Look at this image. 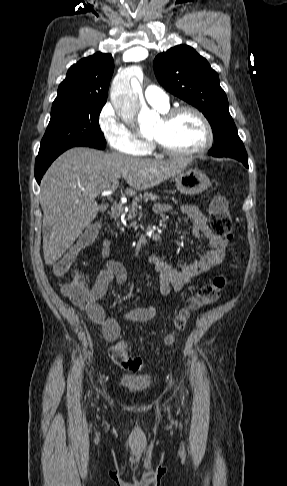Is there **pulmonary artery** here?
Here are the masks:
<instances>
[{
	"label": "pulmonary artery",
	"mask_w": 287,
	"mask_h": 486,
	"mask_svg": "<svg viewBox=\"0 0 287 486\" xmlns=\"http://www.w3.org/2000/svg\"><path fill=\"white\" fill-rule=\"evenodd\" d=\"M144 96L146 101L159 110L165 111L169 107V97L167 93L156 85H149Z\"/></svg>",
	"instance_id": "pulmonary-artery-1"
}]
</instances>
